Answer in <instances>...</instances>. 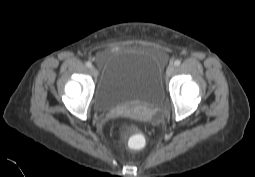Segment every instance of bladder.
<instances>
[{
  "label": "bladder",
  "instance_id": "31cf9c89",
  "mask_svg": "<svg viewBox=\"0 0 255 177\" xmlns=\"http://www.w3.org/2000/svg\"><path fill=\"white\" fill-rule=\"evenodd\" d=\"M165 98L162 70L149 52H124L105 68L94 96L97 112L119 107H156Z\"/></svg>",
  "mask_w": 255,
  "mask_h": 177
}]
</instances>
